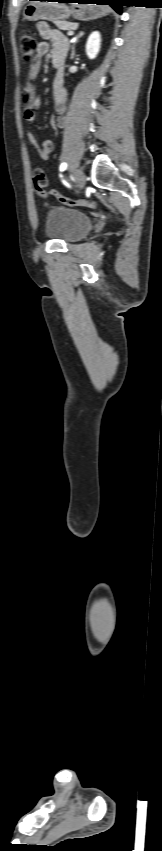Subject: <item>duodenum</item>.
<instances>
[{"label": "duodenum", "mask_w": 162, "mask_h": 851, "mask_svg": "<svg viewBox=\"0 0 162 851\" xmlns=\"http://www.w3.org/2000/svg\"><path fill=\"white\" fill-rule=\"evenodd\" d=\"M54 65H55L56 67H58V66H59V64H58V63H54Z\"/></svg>", "instance_id": "410a0bca"}]
</instances>
